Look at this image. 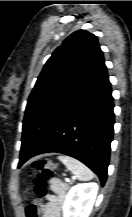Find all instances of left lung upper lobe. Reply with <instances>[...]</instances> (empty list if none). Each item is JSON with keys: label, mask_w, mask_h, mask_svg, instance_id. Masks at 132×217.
Listing matches in <instances>:
<instances>
[{"label": "left lung upper lobe", "mask_w": 132, "mask_h": 217, "mask_svg": "<svg viewBox=\"0 0 132 217\" xmlns=\"http://www.w3.org/2000/svg\"><path fill=\"white\" fill-rule=\"evenodd\" d=\"M104 64L97 37L78 30L48 59L29 96L22 147L31 153Z\"/></svg>", "instance_id": "5c2ea615"}]
</instances>
